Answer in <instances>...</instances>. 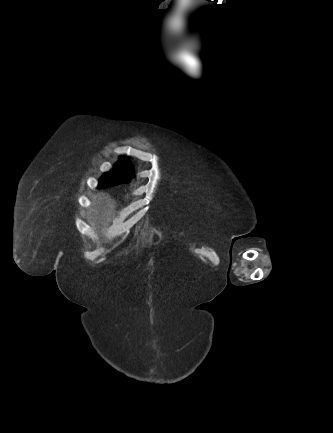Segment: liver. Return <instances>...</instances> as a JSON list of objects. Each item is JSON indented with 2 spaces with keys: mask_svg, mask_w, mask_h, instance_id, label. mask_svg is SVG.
I'll use <instances>...</instances> for the list:
<instances>
[{
  "mask_svg": "<svg viewBox=\"0 0 333 433\" xmlns=\"http://www.w3.org/2000/svg\"><path fill=\"white\" fill-rule=\"evenodd\" d=\"M93 199L95 207L90 210L88 222L101 232L110 225L116 203L109 195H96Z\"/></svg>",
  "mask_w": 333,
  "mask_h": 433,
  "instance_id": "liver-1",
  "label": "liver"
}]
</instances>
